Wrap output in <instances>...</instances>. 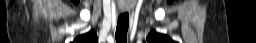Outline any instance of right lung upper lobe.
Wrapping results in <instances>:
<instances>
[{"label": "right lung upper lobe", "mask_w": 256, "mask_h": 43, "mask_svg": "<svg viewBox=\"0 0 256 43\" xmlns=\"http://www.w3.org/2000/svg\"><path fill=\"white\" fill-rule=\"evenodd\" d=\"M98 38L94 31H89L88 33L78 36L73 43H97Z\"/></svg>", "instance_id": "1"}]
</instances>
